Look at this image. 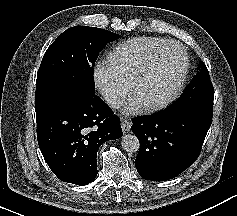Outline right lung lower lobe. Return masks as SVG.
<instances>
[{
	"mask_svg": "<svg viewBox=\"0 0 237 216\" xmlns=\"http://www.w3.org/2000/svg\"><path fill=\"white\" fill-rule=\"evenodd\" d=\"M42 155L62 181L87 185L97 176V151L122 136L120 119L95 93L73 88L36 110Z\"/></svg>",
	"mask_w": 237,
	"mask_h": 216,
	"instance_id": "1",
	"label": "right lung lower lobe"
}]
</instances>
